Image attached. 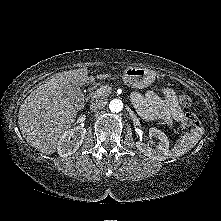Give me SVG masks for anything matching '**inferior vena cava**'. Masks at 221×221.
Here are the masks:
<instances>
[{"instance_id": "602c4592", "label": "inferior vena cava", "mask_w": 221, "mask_h": 221, "mask_svg": "<svg viewBox=\"0 0 221 221\" xmlns=\"http://www.w3.org/2000/svg\"><path fill=\"white\" fill-rule=\"evenodd\" d=\"M105 104H106L105 100H97L90 105V109L93 112H96L98 110L103 109L105 107Z\"/></svg>"}]
</instances>
